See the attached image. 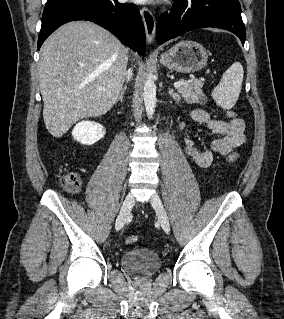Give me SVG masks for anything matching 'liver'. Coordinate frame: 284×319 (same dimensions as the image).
<instances>
[{"label":"liver","mask_w":284,"mask_h":319,"mask_svg":"<svg viewBox=\"0 0 284 319\" xmlns=\"http://www.w3.org/2000/svg\"><path fill=\"white\" fill-rule=\"evenodd\" d=\"M127 49L88 21L67 23L41 48L40 91L49 133L62 137L78 120L108 112L122 90Z\"/></svg>","instance_id":"1"}]
</instances>
